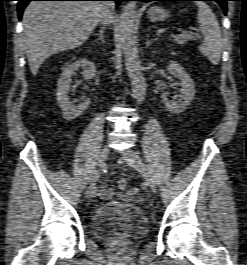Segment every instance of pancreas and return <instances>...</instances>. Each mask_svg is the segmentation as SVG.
<instances>
[{
  "instance_id": "pancreas-1",
  "label": "pancreas",
  "mask_w": 247,
  "mask_h": 265,
  "mask_svg": "<svg viewBox=\"0 0 247 265\" xmlns=\"http://www.w3.org/2000/svg\"><path fill=\"white\" fill-rule=\"evenodd\" d=\"M173 38H174V41L180 45L185 44L188 40H194L195 39L194 35L191 33L175 35V36H173Z\"/></svg>"
}]
</instances>
